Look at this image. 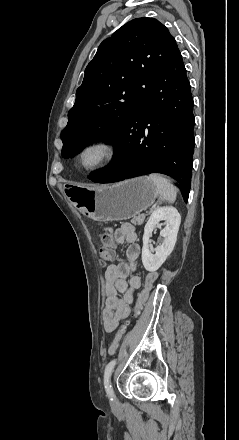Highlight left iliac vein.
I'll return each instance as SVG.
<instances>
[{
	"label": "left iliac vein",
	"instance_id": "1",
	"mask_svg": "<svg viewBox=\"0 0 239 440\" xmlns=\"http://www.w3.org/2000/svg\"><path fill=\"white\" fill-rule=\"evenodd\" d=\"M110 403L114 406V405H115V400H113L112 398H110Z\"/></svg>",
	"mask_w": 239,
	"mask_h": 440
}]
</instances>
